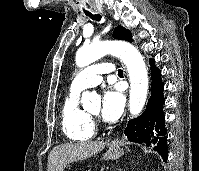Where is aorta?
Listing matches in <instances>:
<instances>
[{
	"mask_svg": "<svg viewBox=\"0 0 199 171\" xmlns=\"http://www.w3.org/2000/svg\"><path fill=\"white\" fill-rule=\"evenodd\" d=\"M108 53L118 56L127 67L131 83L129 109L136 116L141 112L147 98L148 75L144 59L133 45L124 41L92 43L77 51L76 64L85 67ZM99 100V96L89 92H84L81 98L84 108Z\"/></svg>",
	"mask_w": 199,
	"mask_h": 171,
	"instance_id": "1",
	"label": "aorta"
}]
</instances>
